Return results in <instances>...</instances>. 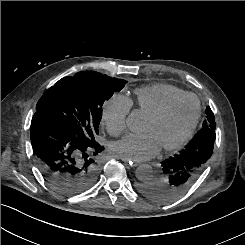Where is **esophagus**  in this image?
<instances>
[{"mask_svg":"<svg viewBox=\"0 0 245 245\" xmlns=\"http://www.w3.org/2000/svg\"><path fill=\"white\" fill-rule=\"evenodd\" d=\"M121 160L125 163H127V165L131 168H135L137 166H139V162H136L135 160H131V159H126L121 157Z\"/></svg>","mask_w":245,"mask_h":245,"instance_id":"34e87169","label":"esophagus"}]
</instances>
